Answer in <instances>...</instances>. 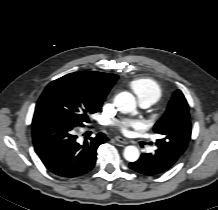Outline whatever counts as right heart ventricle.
Returning <instances> with one entry per match:
<instances>
[{"label":"right heart ventricle","mask_w":218,"mask_h":210,"mask_svg":"<svg viewBox=\"0 0 218 210\" xmlns=\"http://www.w3.org/2000/svg\"><path fill=\"white\" fill-rule=\"evenodd\" d=\"M130 88L138 101L148 102L150 105L157 102L162 94L159 84L151 78H138L130 83Z\"/></svg>","instance_id":"right-heart-ventricle-1"}]
</instances>
